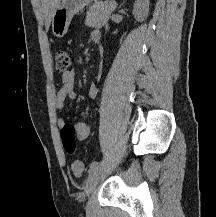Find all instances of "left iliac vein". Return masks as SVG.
<instances>
[{"label":"left iliac vein","mask_w":216,"mask_h":217,"mask_svg":"<svg viewBox=\"0 0 216 217\" xmlns=\"http://www.w3.org/2000/svg\"><path fill=\"white\" fill-rule=\"evenodd\" d=\"M101 167H96L88 176L87 181H86V185H85V194L87 196H89L95 189L100 174H101Z\"/></svg>","instance_id":"obj_1"}]
</instances>
